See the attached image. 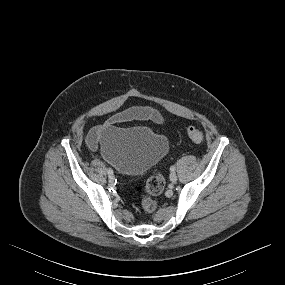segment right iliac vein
Segmentation results:
<instances>
[{
    "label": "right iliac vein",
    "mask_w": 285,
    "mask_h": 285,
    "mask_svg": "<svg viewBox=\"0 0 285 285\" xmlns=\"http://www.w3.org/2000/svg\"><path fill=\"white\" fill-rule=\"evenodd\" d=\"M114 179H115V178H114V176H113V175H109V182H111V183H112V182L114 181Z\"/></svg>",
    "instance_id": "obj_1"
}]
</instances>
